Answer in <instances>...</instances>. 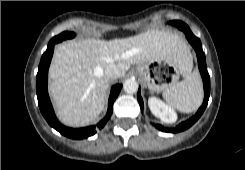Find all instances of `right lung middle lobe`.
I'll return each instance as SVG.
<instances>
[{
    "label": "right lung middle lobe",
    "instance_id": "right-lung-middle-lobe-1",
    "mask_svg": "<svg viewBox=\"0 0 245 170\" xmlns=\"http://www.w3.org/2000/svg\"><path fill=\"white\" fill-rule=\"evenodd\" d=\"M73 37H75V33H73V32H63L60 35L53 37L50 40V42L58 43V42H61V41L65 40V39H70V38H73Z\"/></svg>",
    "mask_w": 245,
    "mask_h": 170
}]
</instances>
